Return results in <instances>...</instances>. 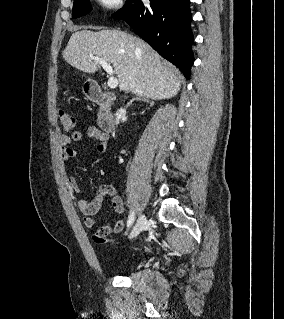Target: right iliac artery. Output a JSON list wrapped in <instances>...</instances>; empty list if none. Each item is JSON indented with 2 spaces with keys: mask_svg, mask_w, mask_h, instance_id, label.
I'll use <instances>...</instances> for the list:
<instances>
[{
  "mask_svg": "<svg viewBox=\"0 0 284 319\" xmlns=\"http://www.w3.org/2000/svg\"><path fill=\"white\" fill-rule=\"evenodd\" d=\"M134 219H135V212L131 211L129 218H128V221H127L128 227L132 225V223L134 222Z\"/></svg>",
  "mask_w": 284,
  "mask_h": 319,
  "instance_id": "obj_1",
  "label": "right iliac artery"
}]
</instances>
